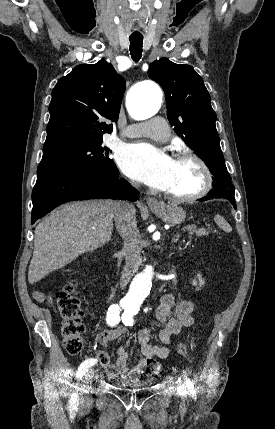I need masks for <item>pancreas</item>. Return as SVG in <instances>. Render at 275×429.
Returning <instances> with one entry per match:
<instances>
[{"label": "pancreas", "mask_w": 275, "mask_h": 429, "mask_svg": "<svg viewBox=\"0 0 275 429\" xmlns=\"http://www.w3.org/2000/svg\"><path fill=\"white\" fill-rule=\"evenodd\" d=\"M195 233H196V236L201 237V236L209 235L210 232L206 229H198V230H195Z\"/></svg>", "instance_id": "obj_1"}]
</instances>
